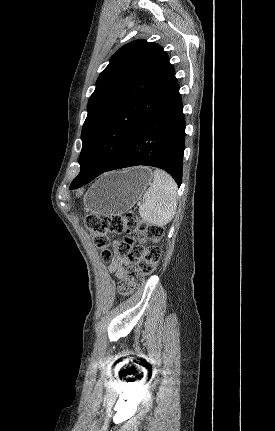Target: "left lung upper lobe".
Instances as JSON below:
<instances>
[{
	"instance_id": "5c2ea615",
	"label": "left lung upper lobe",
	"mask_w": 275,
	"mask_h": 431,
	"mask_svg": "<svg viewBox=\"0 0 275 431\" xmlns=\"http://www.w3.org/2000/svg\"><path fill=\"white\" fill-rule=\"evenodd\" d=\"M168 54L140 39L121 47L96 81L87 105L80 173L109 167L173 90Z\"/></svg>"
}]
</instances>
